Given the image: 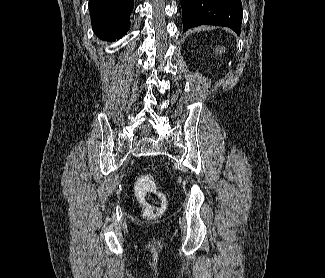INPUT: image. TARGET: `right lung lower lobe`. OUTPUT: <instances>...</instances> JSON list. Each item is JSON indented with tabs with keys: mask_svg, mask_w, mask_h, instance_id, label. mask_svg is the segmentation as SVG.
<instances>
[{
	"mask_svg": "<svg viewBox=\"0 0 325 278\" xmlns=\"http://www.w3.org/2000/svg\"><path fill=\"white\" fill-rule=\"evenodd\" d=\"M133 0H90L94 33L102 40L119 39L129 30Z\"/></svg>",
	"mask_w": 325,
	"mask_h": 278,
	"instance_id": "98d812e1",
	"label": "right lung lower lobe"
}]
</instances>
